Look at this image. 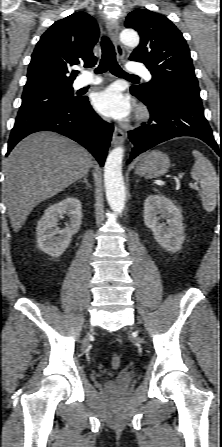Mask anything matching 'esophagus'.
Returning <instances> with one entry per match:
<instances>
[{
  "label": "esophagus",
  "instance_id": "1",
  "mask_svg": "<svg viewBox=\"0 0 222 447\" xmlns=\"http://www.w3.org/2000/svg\"><path fill=\"white\" fill-rule=\"evenodd\" d=\"M106 27L108 33L115 45L116 53L119 59L124 58V49L122 44L119 41L118 33H119V25L116 19H106ZM125 140V133L122 129L115 126L113 136H112V144L114 146L121 145Z\"/></svg>",
  "mask_w": 222,
  "mask_h": 447
}]
</instances>
